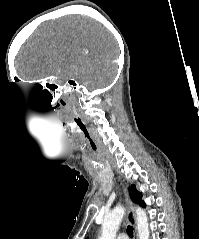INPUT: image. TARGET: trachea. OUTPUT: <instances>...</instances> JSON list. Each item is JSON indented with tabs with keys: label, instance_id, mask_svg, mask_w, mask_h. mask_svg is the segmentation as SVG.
I'll use <instances>...</instances> for the list:
<instances>
[{
	"label": "trachea",
	"instance_id": "3493384b",
	"mask_svg": "<svg viewBox=\"0 0 199 239\" xmlns=\"http://www.w3.org/2000/svg\"><path fill=\"white\" fill-rule=\"evenodd\" d=\"M127 233L130 237H133V227H131L130 225L127 226Z\"/></svg>",
	"mask_w": 199,
	"mask_h": 239
}]
</instances>
